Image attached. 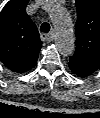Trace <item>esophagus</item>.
<instances>
[{
	"mask_svg": "<svg viewBox=\"0 0 100 118\" xmlns=\"http://www.w3.org/2000/svg\"><path fill=\"white\" fill-rule=\"evenodd\" d=\"M54 37H55V33L54 32H51L49 34H43L41 36L42 40L43 41H47V42H51L54 40Z\"/></svg>",
	"mask_w": 100,
	"mask_h": 118,
	"instance_id": "esophagus-1",
	"label": "esophagus"
}]
</instances>
